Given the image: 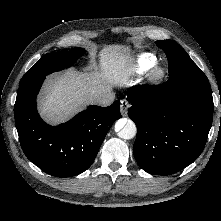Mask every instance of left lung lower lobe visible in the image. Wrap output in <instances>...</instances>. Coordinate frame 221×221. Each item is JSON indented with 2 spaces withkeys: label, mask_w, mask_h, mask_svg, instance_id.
Wrapping results in <instances>:
<instances>
[{
  "label": "left lung lower lobe",
  "mask_w": 221,
  "mask_h": 221,
  "mask_svg": "<svg viewBox=\"0 0 221 221\" xmlns=\"http://www.w3.org/2000/svg\"><path fill=\"white\" fill-rule=\"evenodd\" d=\"M127 99L132 105L128 116L137 126L134 157L144 171L174 174L202 153L214 109L205 74H181L157 86H135Z\"/></svg>",
  "instance_id": "0a47b994"
}]
</instances>
